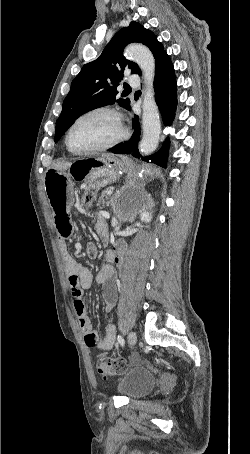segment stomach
Masks as SVG:
<instances>
[{
	"label": "stomach",
	"instance_id": "obj_1",
	"mask_svg": "<svg viewBox=\"0 0 250 454\" xmlns=\"http://www.w3.org/2000/svg\"><path fill=\"white\" fill-rule=\"evenodd\" d=\"M125 169L126 162L123 159L114 155H103L75 161L68 168L57 165L48 170L45 176H76L87 189H95L115 181L119 172Z\"/></svg>",
	"mask_w": 250,
	"mask_h": 454
}]
</instances>
